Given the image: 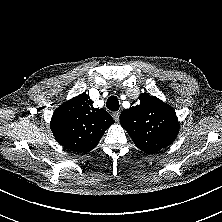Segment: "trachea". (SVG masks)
Returning a JSON list of instances; mask_svg holds the SVG:
<instances>
[{"instance_id": "1", "label": "trachea", "mask_w": 222, "mask_h": 222, "mask_svg": "<svg viewBox=\"0 0 222 222\" xmlns=\"http://www.w3.org/2000/svg\"><path fill=\"white\" fill-rule=\"evenodd\" d=\"M106 106L111 111H118L120 107L118 98L116 96H110L107 99Z\"/></svg>"}]
</instances>
